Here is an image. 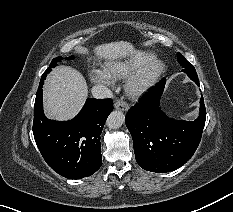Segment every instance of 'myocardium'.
Wrapping results in <instances>:
<instances>
[{
    "label": "myocardium",
    "mask_w": 233,
    "mask_h": 212,
    "mask_svg": "<svg viewBox=\"0 0 233 212\" xmlns=\"http://www.w3.org/2000/svg\"><path fill=\"white\" fill-rule=\"evenodd\" d=\"M165 70V64L153 58L136 69L126 82V90L132 97H140L147 93L159 80Z\"/></svg>",
    "instance_id": "f54148a6"
}]
</instances>
